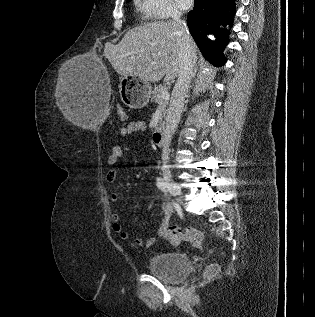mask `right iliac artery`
<instances>
[{"mask_svg": "<svg viewBox=\"0 0 315 317\" xmlns=\"http://www.w3.org/2000/svg\"><path fill=\"white\" fill-rule=\"evenodd\" d=\"M157 187L168 196V187L161 177L157 178Z\"/></svg>", "mask_w": 315, "mask_h": 317, "instance_id": "obj_1", "label": "right iliac artery"}]
</instances>
